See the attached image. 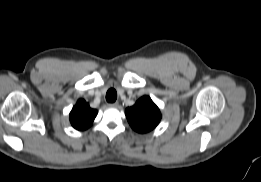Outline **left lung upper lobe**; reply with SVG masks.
Segmentation results:
<instances>
[{
    "label": "left lung upper lobe",
    "mask_w": 261,
    "mask_h": 182,
    "mask_svg": "<svg viewBox=\"0 0 261 182\" xmlns=\"http://www.w3.org/2000/svg\"><path fill=\"white\" fill-rule=\"evenodd\" d=\"M130 126L139 133L153 130L161 119L159 108L148 96L141 97L132 107L125 110Z\"/></svg>",
    "instance_id": "left-lung-upper-lobe-1"
}]
</instances>
